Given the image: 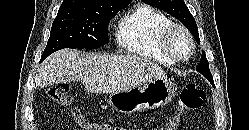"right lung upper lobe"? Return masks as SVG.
I'll list each match as a JSON object with an SVG mask.
<instances>
[{"mask_svg": "<svg viewBox=\"0 0 249 130\" xmlns=\"http://www.w3.org/2000/svg\"><path fill=\"white\" fill-rule=\"evenodd\" d=\"M127 3L131 0H64L60 8L97 11L110 5Z\"/></svg>", "mask_w": 249, "mask_h": 130, "instance_id": "obj_1", "label": "right lung upper lobe"}]
</instances>
